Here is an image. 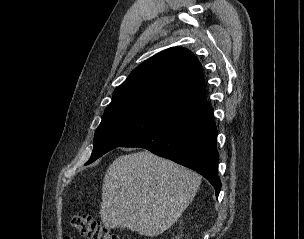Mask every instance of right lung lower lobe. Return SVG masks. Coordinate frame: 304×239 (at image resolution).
Instances as JSON below:
<instances>
[{
    "label": "right lung lower lobe",
    "instance_id": "right-lung-lower-lobe-1",
    "mask_svg": "<svg viewBox=\"0 0 304 239\" xmlns=\"http://www.w3.org/2000/svg\"><path fill=\"white\" fill-rule=\"evenodd\" d=\"M217 128L210 104H203L127 142L122 147H141L195 170L215 188L218 197L219 154Z\"/></svg>",
    "mask_w": 304,
    "mask_h": 239
}]
</instances>
